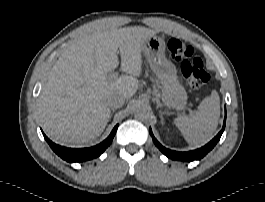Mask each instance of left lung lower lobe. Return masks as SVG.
I'll use <instances>...</instances> for the list:
<instances>
[{
    "mask_svg": "<svg viewBox=\"0 0 265 202\" xmlns=\"http://www.w3.org/2000/svg\"><path fill=\"white\" fill-rule=\"evenodd\" d=\"M225 124H226V117L224 119V123H223V128L222 130L217 134V136H215L208 144H206L205 146L196 149V150H192L189 152H177V151H173L170 149L165 148L164 146H162L157 140L156 138L153 136L152 130L150 128L149 132L150 135L152 136L153 142L154 144L157 146V148H159V150L166 155L168 158L173 159V160H177V161H184V162H190L193 160H200L201 158H203L209 151H211L214 146L217 144V142L220 140V137L225 129Z\"/></svg>",
    "mask_w": 265,
    "mask_h": 202,
    "instance_id": "left-lung-lower-lobe-1",
    "label": "left lung lower lobe"
}]
</instances>
